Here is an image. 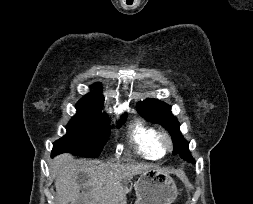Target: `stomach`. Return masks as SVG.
<instances>
[{"label": "stomach", "instance_id": "0dacf381", "mask_svg": "<svg viewBox=\"0 0 253 204\" xmlns=\"http://www.w3.org/2000/svg\"><path fill=\"white\" fill-rule=\"evenodd\" d=\"M135 204H172L178 190L170 174L162 169L148 168L135 184Z\"/></svg>", "mask_w": 253, "mask_h": 204}]
</instances>
